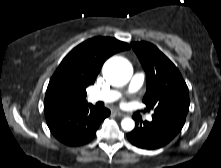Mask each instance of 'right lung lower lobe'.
I'll return each instance as SVG.
<instances>
[{
  "label": "right lung lower lobe",
  "instance_id": "right-lung-lower-lobe-1",
  "mask_svg": "<svg viewBox=\"0 0 221 168\" xmlns=\"http://www.w3.org/2000/svg\"><path fill=\"white\" fill-rule=\"evenodd\" d=\"M109 115L108 109H98L87 103L45 112L51 133L69 146H79L91 141L100 123Z\"/></svg>",
  "mask_w": 221,
  "mask_h": 168
}]
</instances>
